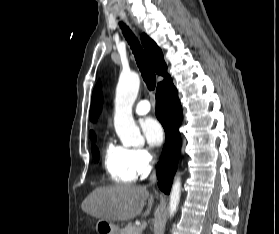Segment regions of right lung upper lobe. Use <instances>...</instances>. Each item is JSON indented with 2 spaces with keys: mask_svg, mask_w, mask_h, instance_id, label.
<instances>
[{
  "mask_svg": "<svg viewBox=\"0 0 279 234\" xmlns=\"http://www.w3.org/2000/svg\"><path fill=\"white\" fill-rule=\"evenodd\" d=\"M141 41L155 68L156 73L158 75H162L164 77V80L168 79L170 76L167 74V66L164 62L161 49L156 45V43L151 38H149L144 33L141 35ZM89 135L92 140L96 139L94 132L91 131Z\"/></svg>",
  "mask_w": 279,
  "mask_h": 234,
  "instance_id": "cb5924a9",
  "label": "right lung upper lobe"
}]
</instances>
